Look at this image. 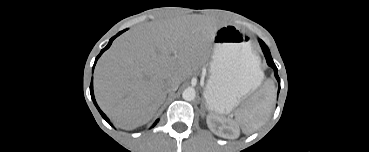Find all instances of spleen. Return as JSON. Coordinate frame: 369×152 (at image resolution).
<instances>
[{
  "label": "spleen",
  "mask_w": 369,
  "mask_h": 152,
  "mask_svg": "<svg viewBox=\"0 0 369 152\" xmlns=\"http://www.w3.org/2000/svg\"><path fill=\"white\" fill-rule=\"evenodd\" d=\"M276 98L273 82H267L244 108L236 111L235 119L245 133H252L269 118Z\"/></svg>",
  "instance_id": "1"
}]
</instances>
